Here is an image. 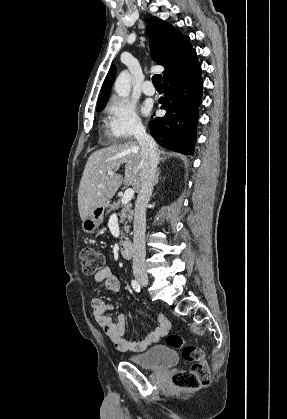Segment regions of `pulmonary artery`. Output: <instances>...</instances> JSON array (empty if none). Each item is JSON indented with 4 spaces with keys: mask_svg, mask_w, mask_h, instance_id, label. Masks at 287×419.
<instances>
[{
    "mask_svg": "<svg viewBox=\"0 0 287 419\" xmlns=\"http://www.w3.org/2000/svg\"><path fill=\"white\" fill-rule=\"evenodd\" d=\"M142 91L148 96H152L155 93V89L152 86L151 81H145L142 85Z\"/></svg>",
    "mask_w": 287,
    "mask_h": 419,
    "instance_id": "pulmonary-artery-1",
    "label": "pulmonary artery"
}]
</instances>
